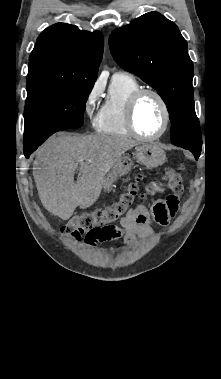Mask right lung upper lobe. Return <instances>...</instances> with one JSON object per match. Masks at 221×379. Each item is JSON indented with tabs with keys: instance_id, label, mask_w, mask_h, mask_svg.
Instances as JSON below:
<instances>
[{
	"instance_id": "right-lung-upper-lobe-1",
	"label": "right lung upper lobe",
	"mask_w": 221,
	"mask_h": 379,
	"mask_svg": "<svg viewBox=\"0 0 221 379\" xmlns=\"http://www.w3.org/2000/svg\"><path fill=\"white\" fill-rule=\"evenodd\" d=\"M104 47L99 31L57 23L38 37L29 57L27 93L97 79Z\"/></svg>"
}]
</instances>
